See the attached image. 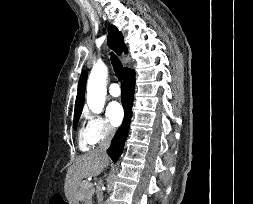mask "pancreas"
<instances>
[{
	"mask_svg": "<svg viewBox=\"0 0 253 204\" xmlns=\"http://www.w3.org/2000/svg\"><path fill=\"white\" fill-rule=\"evenodd\" d=\"M80 195L83 200L86 201V204H92V196L95 192V189L92 184L87 181H82L79 187Z\"/></svg>",
	"mask_w": 253,
	"mask_h": 204,
	"instance_id": "1",
	"label": "pancreas"
}]
</instances>
